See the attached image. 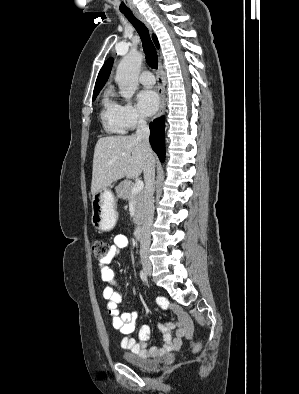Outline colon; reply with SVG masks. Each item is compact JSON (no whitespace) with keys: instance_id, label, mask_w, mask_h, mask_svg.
Masks as SVG:
<instances>
[{"instance_id":"colon-1","label":"colon","mask_w":299,"mask_h":394,"mask_svg":"<svg viewBox=\"0 0 299 394\" xmlns=\"http://www.w3.org/2000/svg\"><path fill=\"white\" fill-rule=\"evenodd\" d=\"M92 250H93L94 257L98 261H104L109 255L110 245L105 240L94 239L92 241ZM200 347H201L200 344H196V345H194L193 350L196 352L200 349Z\"/></svg>"}]
</instances>
